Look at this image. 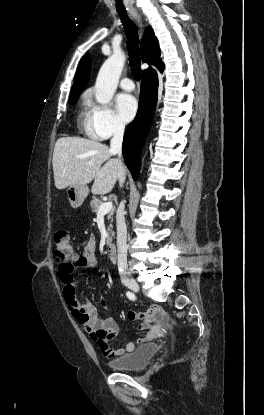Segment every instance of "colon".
<instances>
[{"label": "colon", "mask_w": 264, "mask_h": 415, "mask_svg": "<svg viewBox=\"0 0 264 415\" xmlns=\"http://www.w3.org/2000/svg\"><path fill=\"white\" fill-rule=\"evenodd\" d=\"M56 244V261L60 264L62 269L68 268V264L76 261L81 257L78 254L72 244L70 233L67 230L60 229L56 231L55 236ZM74 289L69 288L66 291V299L72 301L74 299Z\"/></svg>", "instance_id": "obj_1"}]
</instances>
